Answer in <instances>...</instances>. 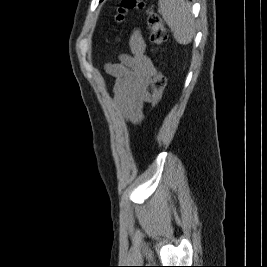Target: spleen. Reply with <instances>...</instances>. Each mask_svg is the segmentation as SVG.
Instances as JSON below:
<instances>
[{"mask_svg":"<svg viewBox=\"0 0 267 267\" xmlns=\"http://www.w3.org/2000/svg\"><path fill=\"white\" fill-rule=\"evenodd\" d=\"M159 13L179 44H189L195 36V21L191 5L184 0H159Z\"/></svg>","mask_w":267,"mask_h":267,"instance_id":"1","label":"spleen"}]
</instances>
